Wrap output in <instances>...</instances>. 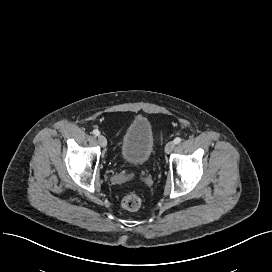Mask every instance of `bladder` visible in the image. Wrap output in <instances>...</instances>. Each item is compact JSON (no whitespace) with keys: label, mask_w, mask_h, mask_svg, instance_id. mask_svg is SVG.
I'll return each instance as SVG.
<instances>
[{"label":"bladder","mask_w":272,"mask_h":272,"mask_svg":"<svg viewBox=\"0 0 272 272\" xmlns=\"http://www.w3.org/2000/svg\"><path fill=\"white\" fill-rule=\"evenodd\" d=\"M154 147L155 136L151 122L144 116H138L123 133L120 157L131 164H145L152 157Z\"/></svg>","instance_id":"1"}]
</instances>
